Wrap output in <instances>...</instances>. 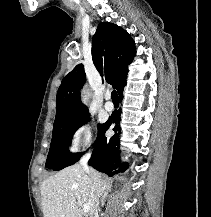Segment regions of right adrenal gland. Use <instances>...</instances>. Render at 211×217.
Here are the masks:
<instances>
[{
	"label": "right adrenal gland",
	"instance_id": "right-adrenal-gland-1",
	"mask_svg": "<svg viewBox=\"0 0 211 217\" xmlns=\"http://www.w3.org/2000/svg\"><path fill=\"white\" fill-rule=\"evenodd\" d=\"M109 190H110V189H108L107 191H105L104 194L102 195V198H101V206L104 205V199H105V197L107 196Z\"/></svg>",
	"mask_w": 211,
	"mask_h": 217
}]
</instances>
